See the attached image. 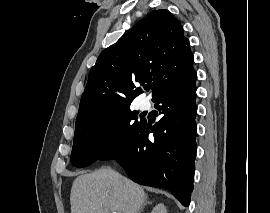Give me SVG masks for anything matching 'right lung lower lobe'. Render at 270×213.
I'll return each mask as SVG.
<instances>
[{
  "label": "right lung lower lobe",
  "mask_w": 270,
  "mask_h": 213,
  "mask_svg": "<svg viewBox=\"0 0 270 213\" xmlns=\"http://www.w3.org/2000/svg\"><path fill=\"white\" fill-rule=\"evenodd\" d=\"M197 74L193 67L175 84L160 92L152 101L159 114L153 127L142 124L101 160H116L127 175L142 185L169 190L184 206L193 190L195 104ZM149 132L154 139L149 140Z\"/></svg>",
  "instance_id": "obj_1"
}]
</instances>
